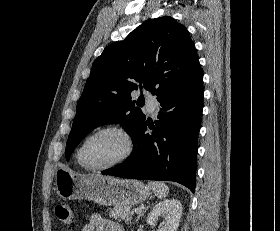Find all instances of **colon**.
I'll use <instances>...</instances> for the list:
<instances>
[{
    "label": "colon",
    "instance_id": "obj_1",
    "mask_svg": "<svg viewBox=\"0 0 280 231\" xmlns=\"http://www.w3.org/2000/svg\"><path fill=\"white\" fill-rule=\"evenodd\" d=\"M54 213H57L58 220H61V225H75V220H72L71 211L64 202L60 203L57 208H54Z\"/></svg>",
    "mask_w": 280,
    "mask_h": 231
}]
</instances>
